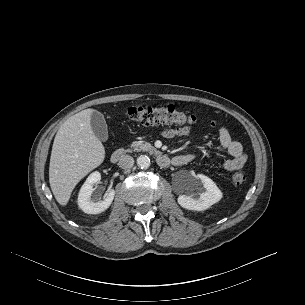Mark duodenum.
<instances>
[{
    "mask_svg": "<svg viewBox=\"0 0 305 305\" xmlns=\"http://www.w3.org/2000/svg\"><path fill=\"white\" fill-rule=\"evenodd\" d=\"M153 155L156 158L157 164L162 168H167L173 163V160H171L168 156L162 154L158 150H152ZM126 155V151L124 149H117L115 150L111 155V161L113 163H118L120 160L123 159V157Z\"/></svg>",
    "mask_w": 305,
    "mask_h": 305,
    "instance_id": "obj_1",
    "label": "duodenum"
}]
</instances>
